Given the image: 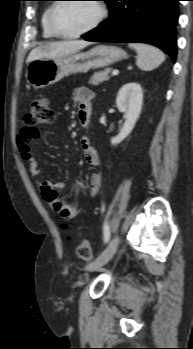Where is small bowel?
Segmentation results:
<instances>
[{"instance_id":"obj_1","label":"small bowel","mask_w":193,"mask_h":349,"mask_svg":"<svg viewBox=\"0 0 193 349\" xmlns=\"http://www.w3.org/2000/svg\"><path fill=\"white\" fill-rule=\"evenodd\" d=\"M72 99L78 106V118L80 123L86 127L90 122L91 117V102L94 98V93L86 87L77 88L72 92ZM37 134L28 126H23L17 135V146L24 161L27 163L29 172L32 176L39 179L41 169L33 154L31 144L36 139ZM82 150L85 161L92 167H97L100 164L99 155L96 149L91 145L87 137L82 140ZM39 189L44 200L59 214L64 221H71L80 216L84 209L79 205L68 201L62 195L65 191V185L61 182L52 183L46 180L38 181ZM102 178L98 173H94L89 178L87 194L93 197L98 194L101 189Z\"/></svg>"}]
</instances>
